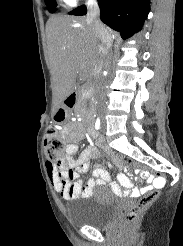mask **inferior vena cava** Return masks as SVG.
<instances>
[{"instance_id": "1", "label": "inferior vena cava", "mask_w": 183, "mask_h": 246, "mask_svg": "<svg viewBox=\"0 0 183 246\" xmlns=\"http://www.w3.org/2000/svg\"><path fill=\"white\" fill-rule=\"evenodd\" d=\"M99 6L96 0H89L87 20L91 26L94 35L99 39L102 45L101 59L96 65V96L98 102V108L100 110L105 108L106 97H105V84L102 78V70L104 68L105 58L109 53L111 47L112 38L107 28L99 19Z\"/></svg>"}]
</instances>
